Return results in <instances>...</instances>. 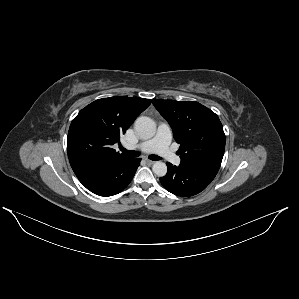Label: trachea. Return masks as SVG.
I'll list each match as a JSON object with an SVG mask.
<instances>
[{
	"instance_id": "1",
	"label": "trachea",
	"mask_w": 299,
	"mask_h": 299,
	"mask_svg": "<svg viewBox=\"0 0 299 299\" xmlns=\"http://www.w3.org/2000/svg\"><path fill=\"white\" fill-rule=\"evenodd\" d=\"M120 150H121L123 153H125V154H127V155H129V156H132V157H139V155H140V153H139L138 151H129V150L123 148V147H121ZM149 159H151V160H153V161H157V160H160L161 157H159V156H157V155H150V156H149Z\"/></svg>"
}]
</instances>
